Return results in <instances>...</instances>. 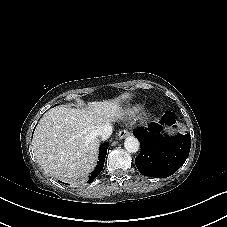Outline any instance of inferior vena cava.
I'll list each match as a JSON object with an SVG mask.
<instances>
[{"mask_svg": "<svg viewBox=\"0 0 227 227\" xmlns=\"http://www.w3.org/2000/svg\"><path fill=\"white\" fill-rule=\"evenodd\" d=\"M112 134V126L110 124H104L96 129V135L100 137L102 141L107 140Z\"/></svg>", "mask_w": 227, "mask_h": 227, "instance_id": "obj_1", "label": "inferior vena cava"}]
</instances>
